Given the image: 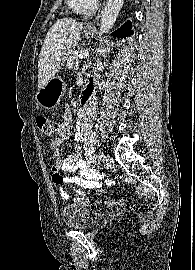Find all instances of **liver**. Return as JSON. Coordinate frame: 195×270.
I'll list each match as a JSON object with an SVG mask.
<instances>
[{
    "label": "liver",
    "instance_id": "1",
    "mask_svg": "<svg viewBox=\"0 0 195 270\" xmlns=\"http://www.w3.org/2000/svg\"><path fill=\"white\" fill-rule=\"evenodd\" d=\"M83 23L71 18L58 19L46 34L38 61V89L64 66L80 40Z\"/></svg>",
    "mask_w": 195,
    "mask_h": 270
}]
</instances>
